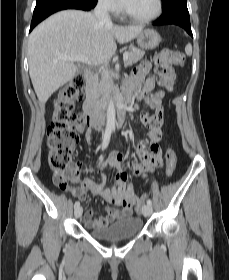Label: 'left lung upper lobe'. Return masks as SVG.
<instances>
[{"label":"left lung upper lobe","instance_id":"5c2ea615","mask_svg":"<svg viewBox=\"0 0 229 280\" xmlns=\"http://www.w3.org/2000/svg\"><path fill=\"white\" fill-rule=\"evenodd\" d=\"M175 0H163L164 2V6H163V10H165L166 8H168L169 6H171L173 4Z\"/></svg>","mask_w":229,"mask_h":280}]
</instances>
